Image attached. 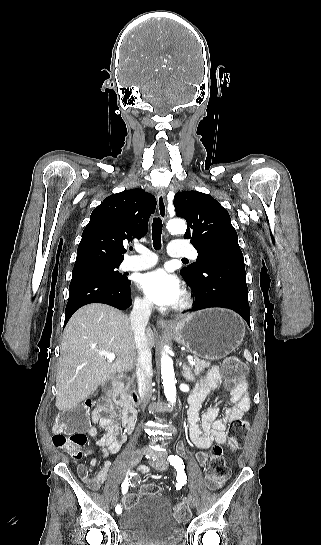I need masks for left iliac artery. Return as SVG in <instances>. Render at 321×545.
Instances as JSON below:
<instances>
[{"label":"left iliac artery","instance_id":"obj_1","mask_svg":"<svg viewBox=\"0 0 321 545\" xmlns=\"http://www.w3.org/2000/svg\"><path fill=\"white\" fill-rule=\"evenodd\" d=\"M170 465H172L177 471V480L182 483H186L187 476L184 472V463L179 456L170 455L168 457Z\"/></svg>","mask_w":321,"mask_h":545}]
</instances>
